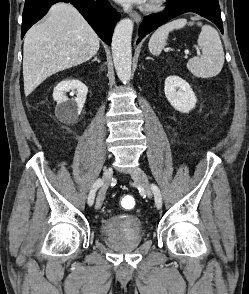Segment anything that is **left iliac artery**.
Wrapping results in <instances>:
<instances>
[{
	"mask_svg": "<svg viewBox=\"0 0 249 294\" xmlns=\"http://www.w3.org/2000/svg\"><path fill=\"white\" fill-rule=\"evenodd\" d=\"M151 188H152V191H153V194H154L156 207L158 209H160L161 206H162L161 192H160L159 188L155 184H152Z\"/></svg>",
	"mask_w": 249,
	"mask_h": 294,
	"instance_id": "44dca946",
	"label": "left iliac artery"
}]
</instances>
